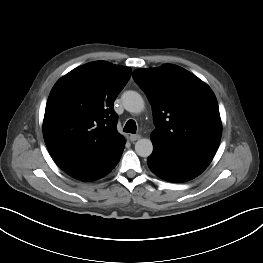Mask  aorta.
Listing matches in <instances>:
<instances>
[{
  "instance_id": "aorta-1",
  "label": "aorta",
  "mask_w": 263,
  "mask_h": 263,
  "mask_svg": "<svg viewBox=\"0 0 263 263\" xmlns=\"http://www.w3.org/2000/svg\"><path fill=\"white\" fill-rule=\"evenodd\" d=\"M124 108L131 113H140L144 109V100L136 91H126L122 95ZM135 151L141 157H149L153 152V144L150 139L142 138L135 143Z\"/></svg>"
}]
</instances>
